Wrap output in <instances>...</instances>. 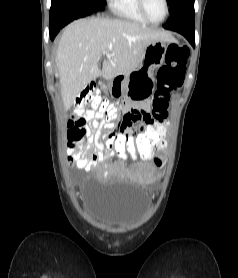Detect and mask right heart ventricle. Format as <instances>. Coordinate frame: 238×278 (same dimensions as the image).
<instances>
[{
	"label": "right heart ventricle",
	"mask_w": 238,
	"mask_h": 278,
	"mask_svg": "<svg viewBox=\"0 0 238 278\" xmlns=\"http://www.w3.org/2000/svg\"><path fill=\"white\" fill-rule=\"evenodd\" d=\"M109 5L112 12L120 18L141 24L148 23L139 10L137 0H110Z\"/></svg>",
	"instance_id": "obj_1"
}]
</instances>
